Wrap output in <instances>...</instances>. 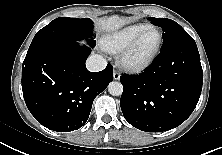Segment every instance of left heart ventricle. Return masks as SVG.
<instances>
[{"mask_svg": "<svg viewBox=\"0 0 222 155\" xmlns=\"http://www.w3.org/2000/svg\"><path fill=\"white\" fill-rule=\"evenodd\" d=\"M158 42V34L154 31L148 33L131 55V60L139 62L148 57Z\"/></svg>", "mask_w": 222, "mask_h": 155, "instance_id": "obj_1", "label": "left heart ventricle"}]
</instances>
